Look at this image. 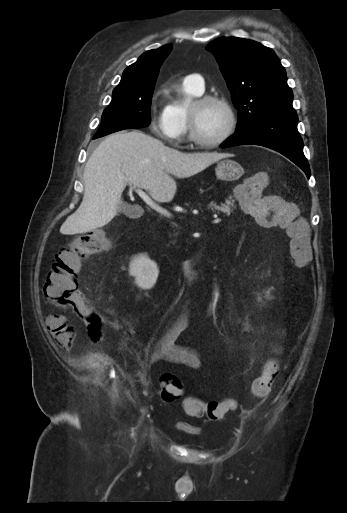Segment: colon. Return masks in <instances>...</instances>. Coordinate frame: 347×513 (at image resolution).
<instances>
[{
  "label": "colon",
  "instance_id": "colon-1",
  "mask_svg": "<svg viewBox=\"0 0 347 513\" xmlns=\"http://www.w3.org/2000/svg\"><path fill=\"white\" fill-rule=\"evenodd\" d=\"M266 179L262 175L251 176L237 185V199L244 210L254 215L256 222L266 228L277 226L287 231L290 238L291 255L299 267L306 266L312 252L308 241L306 225L299 217L296 206L284 202L277 196H262V187ZM109 239L102 232H89L81 235L69 246L61 249L55 256L44 283V294L57 306L75 311L81 325L89 328L94 343L103 340V321L93 300H85L78 289L77 275L84 257L96 254L108 248ZM278 365L268 361L263 373L251 386L252 394L265 398L271 391ZM161 396L165 402H176L183 398L184 388L181 380L172 373H164L160 378ZM184 411L191 417H206L209 420H221L233 409L230 399L203 402L196 398H185Z\"/></svg>",
  "mask_w": 347,
  "mask_h": 513
}]
</instances>
